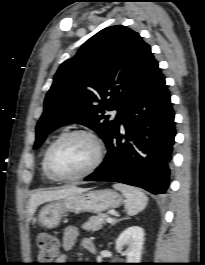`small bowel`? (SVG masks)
<instances>
[{
    "instance_id": "c3829d8e",
    "label": "small bowel",
    "mask_w": 205,
    "mask_h": 265,
    "mask_svg": "<svg viewBox=\"0 0 205 265\" xmlns=\"http://www.w3.org/2000/svg\"><path fill=\"white\" fill-rule=\"evenodd\" d=\"M77 237H78L77 229L73 226L67 227L64 230V233L62 236V243H61L62 249L64 251H69L70 249H72V247L74 246L77 240ZM82 245L88 251V247L93 246L94 244L90 239H84L82 241ZM65 260H66V255L61 254L58 257L57 262H59L58 264H63L62 262H65Z\"/></svg>"
}]
</instances>
